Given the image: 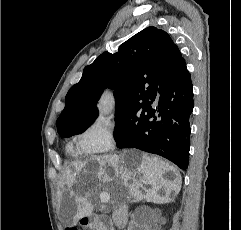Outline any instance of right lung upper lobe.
Masks as SVG:
<instances>
[{
	"instance_id": "right-lung-upper-lobe-1",
	"label": "right lung upper lobe",
	"mask_w": 241,
	"mask_h": 230,
	"mask_svg": "<svg viewBox=\"0 0 241 230\" xmlns=\"http://www.w3.org/2000/svg\"><path fill=\"white\" fill-rule=\"evenodd\" d=\"M183 60L165 31L145 28L120 45L118 52H104L84 68L81 80L66 95L58 132L95 120L96 101L104 88L114 89L116 109L148 102L163 77Z\"/></svg>"
}]
</instances>
